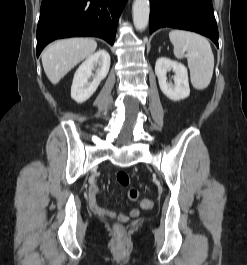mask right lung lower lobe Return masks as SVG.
<instances>
[{
    "instance_id": "98d812e1",
    "label": "right lung lower lobe",
    "mask_w": 247,
    "mask_h": 265,
    "mask_svg": "<svg viewBox=\"0 0 247 265\" xmlns=\"http://www.w3.org/2000/svg\"><path fill=\"white\" fill-rule=\"evenodd\" d=\"M127 0H42L37 27V56L51 41L94 36L113 45Z\"/></svg>"
}]
</instances>
